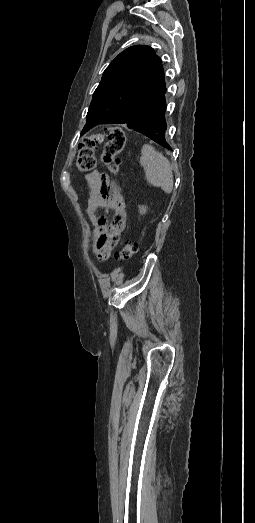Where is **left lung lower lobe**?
<instances>
[{
  "instance_id": "left-lung-lower-lobe-1",
  "label": "left lung lower lobe",
  "mask_w": 255,
  "mask_h": 523,
  "mask_svg": "<svg viewBox=\"0 0 255 523\" xmlns=\"http://www.w3.org/2000/svg\"><path fill=\"white\" fill-rule=\"evenodd\" d=\"M167 121L164 123V121H158V123H155V125H150V127H138L136 129V132H142V135L144 137H149V140H152V142H155L156 145H161L164 150H167L170 148V145H168V141L166 140L167 134L164 131L167 128Z\"/></svg>"
}]
</instances>
